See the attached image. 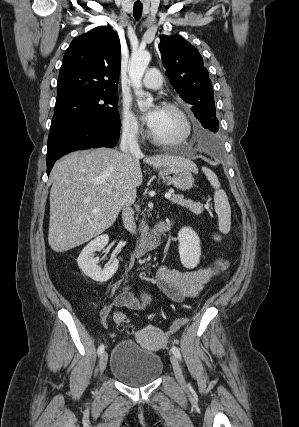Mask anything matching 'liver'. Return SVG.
<instances>
[{
	"label": "liver",
	"mask_w": 299,
	"mask_h": 427,
	"mask_svg": "<svg viewBox=\"0 0 299 427\" xmlns=\"http://www.w3.org/2000/svg\"><path fill=\"white\" fill-rule=\"evenodd\" d=\"M140 159L156 168L198 172L192 161L178 156L144 157L105 147L67 154L51 171L48 243L52 250L64 252L89 241L108 229L125 205L135 202L142 184Z\"/></svg>",
	"instance_id": "liver-1"
}]
</instances>
